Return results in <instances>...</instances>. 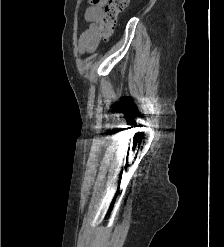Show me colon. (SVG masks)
I'll return each mask as SVG.
<instances>
[{
  "mask_svg": "<svg viewBox=\"0 0 224 247\" xmlns=\"http://www.w3.org/2000/svg\"><path fill=\"white\" fill-rule=\"evenodd\" d=\"M130 0H109L99 23L102 40H108L114 32L119 15L127 8Z\"/></svg>",
  "mask_w": 224,
  "mask_h": 247,
  "instance_id": "colon-1",
  "label": "colon"
}]
</instances>
